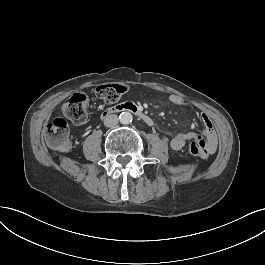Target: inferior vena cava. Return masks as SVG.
<instances>
[{
  "instance_id": "1",
  "label": "inferior vena cava",
  "mask_w": 265,
  "mask_h": 265,
  "mask_svg": "<svg viewBox=\"0 0 265 265\" xmlns=\"http://www.w3.org/2000/svg\"><path fill=\"white\" fill-rule=\"evenodd\" d=\"M119 123V119L116 115H108L104 120L106 127H114Z\"/></svg>"
}]
</instances>
